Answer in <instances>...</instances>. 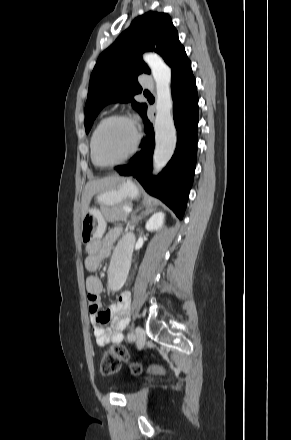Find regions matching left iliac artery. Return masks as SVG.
Segmentation results:
<instances>
[{"instance_id": "1", "label": "left iliac artery", "mask_w": 291, "mask_h": 440, "mask_svg": "<svg viewBox=\"0 0 291 440\" xmlns=\"http://www.w3.org/2000/svg\"><path fill=\"white\" fill-rule=\"evenodd\" d=\"M127 339H128V340H131V341H132V340H135V335H134L133 333H128V334H127Z\"/></svg>"}]
</instances>
